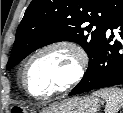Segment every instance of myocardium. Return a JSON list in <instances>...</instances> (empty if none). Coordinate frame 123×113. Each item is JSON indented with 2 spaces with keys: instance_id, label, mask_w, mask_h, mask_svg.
<instances>
[{
  "instance_id": "obj_1",
  "label": "myocardium",
  "mask_w": 123,
  "mask_h": 113,
  "mask_svg": "<svg viewBox=\"0 0 123 113\" xmlns=\"http://www.w3.org/2000/svg\"><path fill=\"white\" fill-rule=\"evenodd\" d=\"M62 50L68 52L73 58V71L69 78L64 80L61 84L54 87L53 89L49 90L43 94H35L32 93L26 85V74L29 66L31 63L36 60L41 55L50 52ZM88 66V55L85 49L77 42L69 39H59L56 41L49 42L37 50H35L29 58L24 63L22 70H21V83L24 90L32 97L39 98V99H47L56 95L58 93L64 92L71 87L77 85L85 76Z\"/></svg>"
}]
</instances>
